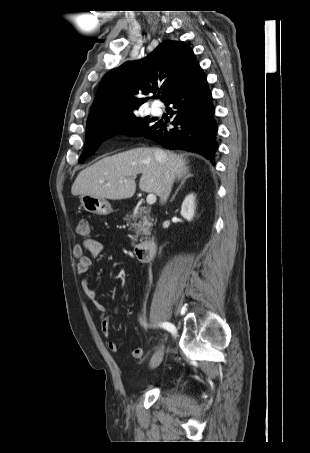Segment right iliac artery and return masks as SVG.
<instances>
[{"mask_svg": "<svg viewBox=\"0 0 310 453\" xmlns=\"http://www.w3.org/2000/svg\"><path fill=\"white\" fill-rule=\"evenodd\" d=\"M161 327H163L164 329L170 331L172 334H176V328L171 323L164 322V323L161 324Z\"/></svg>", "mask_w": 310, "mask_h": 453, "instance_id": "82829eb1", "label": "right iliac artery"}]
</instances>
